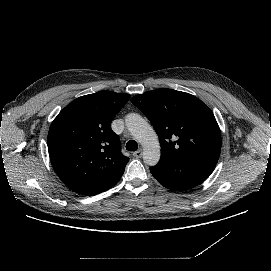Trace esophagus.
<instances>
[{"instance_id":"34e87169","label":"esophagus","mask_w":271,"mask_h":271,"mask_svg":"<svg viewBox=\"0 0 271 271\" xmlns=\"http://www.w3.org/2000/svg\"><path fill=\"white\" fill-rule=\"evenodd\" d=\"M142 154H143V150L141 148H139L137 151H135L133 153V156L136 157V158H141Z\"/></svg>"}]
</instances>
